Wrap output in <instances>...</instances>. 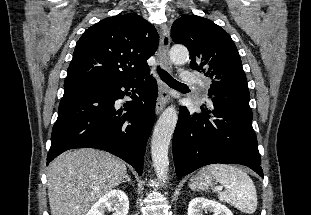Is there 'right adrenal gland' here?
I'll return each mask as SVG.
<instances>
[{"label": "right adrenal gland", "mask_w": 311, "mask_h": 215, "mask_svg": "<svg viewBox=\"0 0 311 215\" xmlns=\"http://www.w3.org/2000/svg\"><path fill=\"white\" fill-rule=\"evenodd\" d=\"M123 182H124V183H125V182H128L129 184H132L131 179H130V177H129L128 174L126 175V177H125V179L123 180Z\"/></svg>", "instance_id": "1"}]
</instances>
